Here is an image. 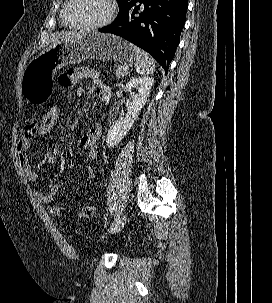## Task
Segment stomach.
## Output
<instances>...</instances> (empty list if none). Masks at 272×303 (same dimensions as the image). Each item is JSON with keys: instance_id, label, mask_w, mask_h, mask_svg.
<instances>
[{"instance_id": "obj_1", "label": "stomach", "mask_w": 272, "mask_h": 303, "mask_svg": "<svg viewBox=\"0 0 272 303\" xmlns=\"http://www.w3.org/2000/svg\"><path fill=\"white\" fill-rule=\"evenodd\" d=\"M86 59L128 63L136 59V53L124 39L95 31L59 40L27 64L21 82L25 100L33 104L46 101L50 97L52 77L56 71Z\"/></svg>"}]
</instances>
